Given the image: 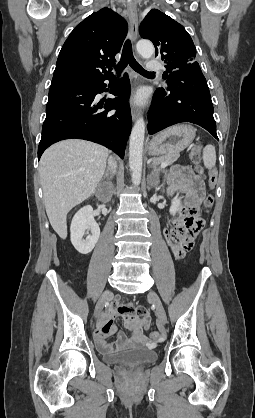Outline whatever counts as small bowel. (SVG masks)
Segmentation results:
<instances>
[{
    "instance_id": "small-bowel-1",
    "label": "small bowel",
    "mask_w": 255,
    "mask_h": 418,
    "mask_svg": "<svg viewBox=\"0 0 255 418\" xmlns=\"http://www.w3.org/2000/svg\"><path fill=\"white\" fill-rule=\"evenodd\" d=\"M169 193L184 195L185 209L182 210L180 216L185 218L187 209L199 207L205 194L204 183L190 169L178 168L169 177ZM177 221L179 222L180 219ZM198 234L197 228L166 229L165 239L169 243V256H173L175 261H184L190 253L189 249H194ZM118 316L123 318L125 327L132 332L133 336L127 338L123 332H119L114 342H108V337L116 331L114 320ZM150 322V314L145 308H134L131 303L117 299L100 317L93 337L97 347L104 352L122 349L128 345L140 343L143 340V331L150 325Z\"/></svg>"
}]
</instances>
